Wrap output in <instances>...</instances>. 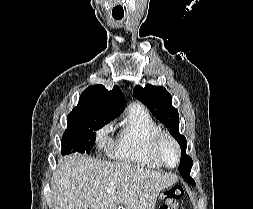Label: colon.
I'll list each match as a JSON object with an SVG mask.
<instances>
[{
    "label": "colon",
    "mask_w": 253,
    "mask_h": 209,
    "mask_svg": "<svg viewBox=\"0 0 253 209\" xmlns=\"http://www.w3.org/2000/svg\"><path fill=\"white\" fill-rule=\"evenodd\" d=\"M184 189L180 185H175L166 191V204L161 209H178L177 202L183 197Z\"/></svg>",
    "instance_id": "5ec220e1"
}]
</instances>
